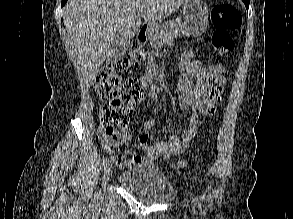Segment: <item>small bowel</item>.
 Returning a JSON list of instances; mask_svg holds the SVG:
<instances>
[{"label":"small bowel","mask_w":293,"mask_h":219,"mask_svg":"<svg viewBox=\"0 0 293 219\" xmlns=\"http://www.w3.org/2000/svg\"><path fill=\"white\" fill-rule=\"evenodd\" d=\"M180 71L182 79L178 83L179 108L182 112H189L191 119L189 127L182 133L181 138H174L168 142H158L154 145L148 144V134H140L136 142L145 153L144 156L136 154L128 159V144L131 134L128 128L122 129L121 133L109 135L102 125L97 128V136L107 153L112 156V161L119 167L144 165L153 162L158 157L182 154L189 147L198 130L203 125L202 118L211 116L215 112V104L219 101L223 92V84L226 79L207 68L201 60L195 59L192 52L186 50L180 60ZM196 78L193 84L192 79ZM147 96L157 98L159 88L152 81L144 83ZM155 120L151 119L144 123V129L151 131ZM121 147L120 151L116 148Z\"/></svg>","instance_id":"c3829d8e"}]
</instances>
